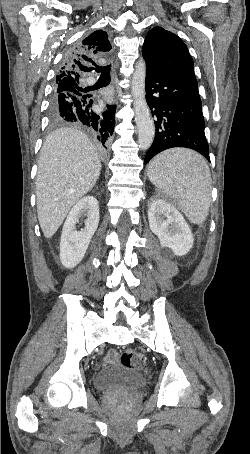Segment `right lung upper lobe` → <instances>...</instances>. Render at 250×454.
<instances>
[{"instance_id": "1", "label": "right lung upper lobe", "mask_w": 250, "mask_h": 454, "mask_svg": "<svg viewBox=\"0 0 250 454\" xmlns=\"http://www.w3.org/2000/svg\"><path fill=\"white\" fill-rule=\"evenodd\" d=\"M110 49L111 44L106 32L97 30L91 33L66 56L56 76V85L78 84L84 72L89 70L85 65L93 64L98 67L94 61L103 58Z\"/></svg>"}]
</instances>
